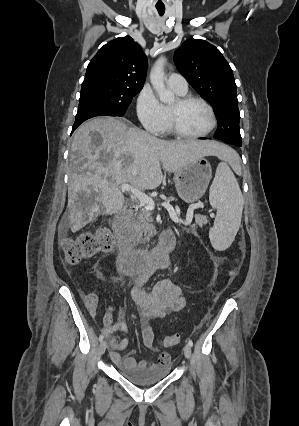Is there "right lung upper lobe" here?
<instances>
[{
  "label": "right lung upper lobe",
  "instance_id": "obj_1",
  "mask_svg": "<svg viewBox=\"0 0 299 426\" xmlns=\"http://www.w3.org/2000/svg\"><path fill=\"white\" fill-rule=\"evenodd\" d=\"M147 71V58L141 46L130 36L105 44L87 67L82 85L107 83L142 89Z\"/></svg>",
  "mask_w": 299,
  "mask_h": 426
}]
</instances>
